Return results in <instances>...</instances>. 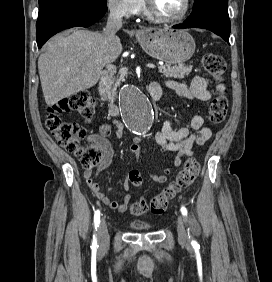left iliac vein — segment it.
Masks as SVG:
<instances>
[{
    "label": "left iliac vein",
    "mask_w": 272,
    "mask_h": 282,
    "mask_svg": "<svg viewBox=\"0 0 272 282\" xmlns=\"http://www.w3.org/2000/svg\"><path fill=\"white\" fill-rule=\"evenodd\" d=\"M177 232H178L179 242L183 245L189 246L190 237L187 233V230L185 228V222L181 215H178L177 218Z\"/></svg>",
    "instance_id": "1"
}]
</instances>
